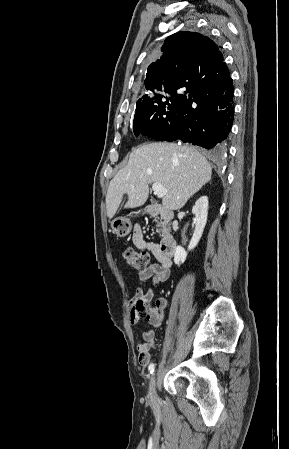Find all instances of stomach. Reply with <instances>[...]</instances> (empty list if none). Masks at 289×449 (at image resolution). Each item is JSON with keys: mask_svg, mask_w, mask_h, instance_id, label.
<instances>
[{"mask_svg": "<svg viewBox=\"0 0 289 449\" xmlns=\"http://www.w3.org/2000/svg\"><path fill=\"white\" fill-rule=\"evenodd\" d=\"M111 227L118 237H126L131 232L132 224L129 218L117 217L112 221Z\"/></svg>", "mask_w": 289, "mask_h": 449, "instance_id": "1", "label": "stomach"}]
</instances>
